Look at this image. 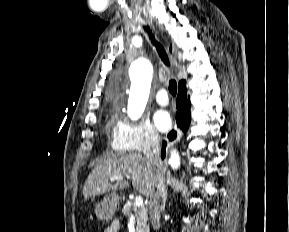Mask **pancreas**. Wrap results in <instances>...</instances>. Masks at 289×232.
<instances>
[{
  "mask_svg": "<svg viewBox=\"0 0 289 232\" xmlns=\"http://www.w3.org/2000/svg\"><path fill=\"white\" fill-rule=\"evenodd\" d=\"M124 216L129 217L134 214L136 218V232H149L148 213L144 205L139 207L134 205V202L127 201L122 209Z\"/></svg>",
  "mask_w": 289,
  "mask_h": 232,
  "instance_id": "pancreas-1",
  "label": "pancreas"
}]
</instances>
